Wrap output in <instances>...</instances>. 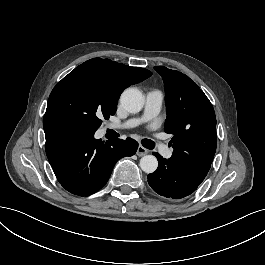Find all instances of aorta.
I'll list each match as a JSON object with an SVG mask.
<instances>
[{
	"label": "aorta",
	"mask_w": 265,
	"mask_h": 265,
	"mask_svg": "<svg viewBox=\"0 0 265 265\" xmlns=\"http://www.w3.org/2000/svg\"><path fill=\"white\" fill-rule=\"evenodd\" d=\"M145 102L143 93L135 87H129L124 90L120 97V103L125 110L130 113L139 112ZM140 168L146 174L155 172L158 168V161L153 155L143 156L140 160Z\"/></svg>",
	"instance_id": "aorta-1"
}]
</instances>
